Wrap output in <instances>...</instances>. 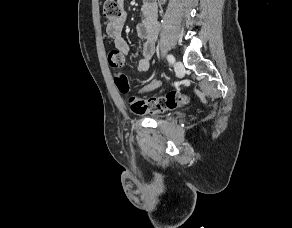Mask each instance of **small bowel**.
<instances>
[{
  "label": "small bowel",
  "mask_w": 292,
  "mask_h": 228,
  "mask_svg": "<svg viewBox=\"0 0 292 228\" xmlns=\"http://www.w3.org/2000/svg\"><path fill=\"white\" fill-rule=\"evenodd\" d=\"M121 8V16L115 23L108 24L106 33L113 40L115 49L124 60V57L130 53L128 42L122 37V29L126 20V12L123 9L124 0H117ZM159 32L157 21V8L151 1H145L141 6V21L136 26V34L142 40L141 57L137 63V71L140 73L148 71L151 59L155 51V42ZM160 86L159 81H153L146 86L142 93H148Z\"/></svg>",
  "instance_id": "small-bowel-1"
}]
</instances>
